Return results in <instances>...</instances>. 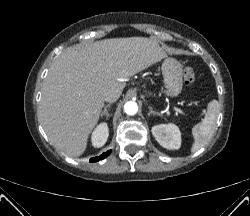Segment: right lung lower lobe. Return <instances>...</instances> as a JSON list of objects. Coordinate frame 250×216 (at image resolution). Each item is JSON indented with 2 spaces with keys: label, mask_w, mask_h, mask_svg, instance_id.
I'll use <instances>...</instances> for the list:
<instances>
[{
  "label": "right lung lower lobe",
  "mask_w": 250,
  "mask_h": 216,
  "mask_svg": "<svg viewBox=\"0 0 250 216\" xmlns=\"http://www.w3.org/2000/svg\"><path fill=\"white\" fill-rule=\"evenodd\" d=\"M110 153H111V150H109V151L103 153V154H102L101 156H99V157L92 158L90 161L96 162V161L102 160V159H104L105 157H107Z\"/></svg>",
  "instance_id": "obj_1"
}]
</instances>
